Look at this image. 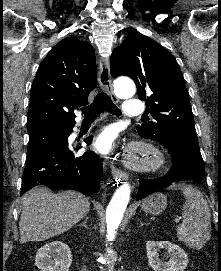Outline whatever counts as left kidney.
Here are the masks:
<instances>
[{
    "label": "left kidney",
    "mask_w": 221,
    "mask_h": 271,
    "mask_svg": "<svg viewBox=\"0 0 221 271\" xmlns=\"http://www.w3.org/2000/svg\"><path fill=\"white\" fill-rule=\"evenodd\" d=\"M146 249L149 265L154 271H184L188 265L187 253L171 241H147ZM160 249H166L161 259Z\"/></svg>",
    "instance_id": "5707ae66"
}]
</instances>
